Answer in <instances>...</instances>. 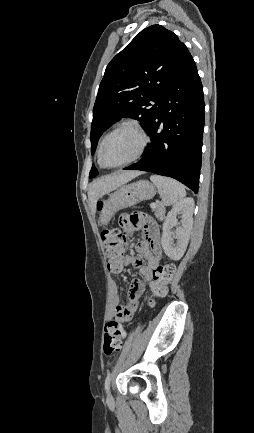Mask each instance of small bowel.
<instances>
[{
    "mask_svg": "<svg viewBox=\"0 0 254 433\" xmlns=\"http://www.w3.org/2000/svg\"><path fill=\"white\" fill-rule=\"evenodd\" d=\"M120 220L125 229L130 231L141 230L144 234V239L136 245L137 256H123L118 265L110 266L113 273H120L125 267L131 265L137 268L144 278V281L138 279L131 281L125 305L120 304L117 283L112 281L110 284V301L106 309V318L107 320L118 319L121 322H127L130 320L140 297L145 291V284H149L152 291L156 288L154 275L156 269L160 266L162 249L160 231L155 223L147 221L142 224L131 225L126 214L122 215ZM166 293L167 286H165Z\"/></svg>",
    "mask_w": 254,
    "mask_h": 433,
    "instance_id": "obj_1",
    "label": "small bowel"
}]
</instances>
